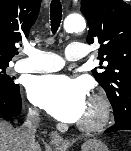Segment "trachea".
I'll use <instances>...</instances> for the list:
<instances>
[{
  "label": "trachea",
  "instance_id": "obj_1",
  "mask_svg": "<svg viewBox=\"0 0 131 151\" xmlns=\"http://www.w3.org/2000/svg\"><path fill=\"white\" fill-rule=\"evenodd\" d=\"M51 31L56 33L62 19V6L60 0H52L50 5Z\"/></svg>",
  "mask_w": 131,
  "mask_h": 151
}]
</instances>
